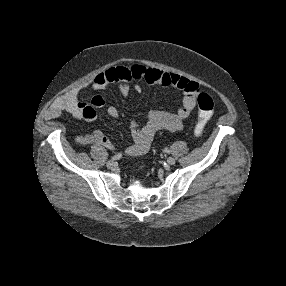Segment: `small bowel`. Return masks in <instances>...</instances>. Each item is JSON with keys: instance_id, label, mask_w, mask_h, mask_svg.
Wrapping results in <instances>:
<instances>
[{"instance_id": "obj_1", "label": "small bowel", "mask_w": 286, "mask_h": 286, "mask_svg": "<svg viewBox=\"0 0 286 286\" xmlns=\"http://www.w3.org/2000/svg\"><path fill=\"white\" fill-rule=\"evenodd\" d=\"M142 80L151 85L174 87L183 95L182 104L175 112L153 109L149 112L144 124L136 121L131 122L130 130L133 143L125 149L124 153L126 156L144 154L150 148L158 131H176L183 127L184 122L196 106V97L200 91L197 82L176 73L147 69L141 64L130 67L115 66L97 74L91 81L84 82L69 90L52 105L49 116L54 118L66 113L77 121L91 122L96 119V109L103 107L105 101L102 96L95 95L89 104L80 102L79 95L86 87L91 86L93 90L98 91L111 84H117L120 95L125 97L129 93L131 83H136L135 91L140 92L141 87L137 83ZM107 114L112 118H116L119 116V110L116 106L111 105L107 108ZM75 142L79 145L98 144L113 148L112 142L100 130H93L87 135L78 136Z\"/></svg>"}]
</instances>
